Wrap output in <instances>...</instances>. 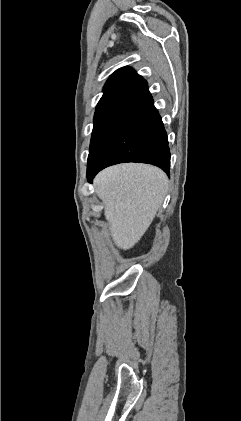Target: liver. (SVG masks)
<instances>
[{"instance_id": "liver-1", "label": "liver", "mask_w": 241, "mask_h": 421, "mask_svg": "<svg viewBox=\"0 0 241 421\" xmlns=\"http://www.w3.org/2000/svg\"><path fill=\"white\" fill-rule=\"evenodd\" d=\"M94 187L115 245L128 250L139 242L161 207L168 178L155 166L126 163L101 171Z\"/></svg>"}]
</instances>
